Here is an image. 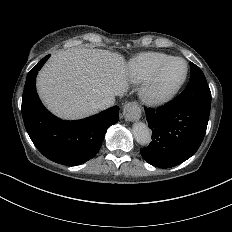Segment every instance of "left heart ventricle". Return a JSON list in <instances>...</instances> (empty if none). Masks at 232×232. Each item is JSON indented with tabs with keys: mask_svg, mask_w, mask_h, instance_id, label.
Returning a JSON list of instances; mask_svg holds the SVG:
<instances>
[{
	"mask_svg": "<svg viewBox=\"0 0 232 232\" xmlns=\"http://www.w3.org/2000/svg\"><path fill=\"white\" fill-rule=\"evenodd\" d=\"M186 65L183 61L172 63L158 78L152 88V94L157 95L162 91L171 88L184 76Z\"/></svg>",
	"mask_w": 232,
	"mask_h": 232,
	"instance_id": "b2bd125f",
	"label": "left heart ventricle"
}]
</instances>
